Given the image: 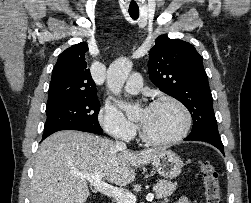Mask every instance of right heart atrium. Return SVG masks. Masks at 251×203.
I'll use <instances>...</instances> for the list:
<instances>
[{
	"instance_id": "right-heart-atrium-1",
	"label": "right heart atrium",
	"mask_w": 251,
	"mask_h": 203,
	"mask_svg": "<svg viewBox=\"0 0 251 203\" xmlns=\"http://www.w3.org/2000/svg\"><path fill=\"white\" fill-rule=\"evenodd\" d=\"M102 128L113 138L128 141L136 132L134 124L129 122L122 113L112 105H104L98 115Z\"/></svg>"
}]
</instances>
